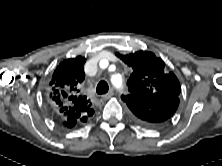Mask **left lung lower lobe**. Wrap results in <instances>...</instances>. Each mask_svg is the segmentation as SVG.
I'll use <instances>...</instances> for the list:
<instances>
[{"label": "left lung lower lobe", "instance_id": "left-lung-lower-lobe-1", "mask_svg": "<svg viewBox=\"0 0 222 166\" xmlns=\"http://www.w3.org/2000/svg\"><path fill=\"white\" fill-rule=\"evenodd\" d=\"M178 105L179 98L176 95L159 97L155 101L131 96L129 109L136 122L151 127L168 120L175 113Z\"/></svg>", "mask_w": 222, "mask_h": 166}]
</instances>
